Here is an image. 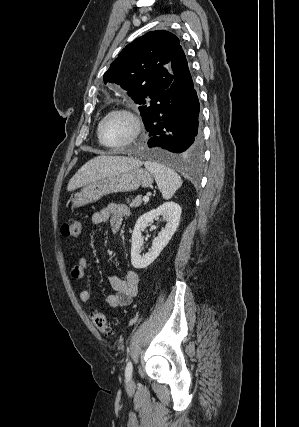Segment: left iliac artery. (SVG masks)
I'll use <instances>...</instances> for the list:
<instances>
[{"label": "left iliac artery", "instance_id": "44dca946", "mask_svg": "<svg viewBox=\"0 0 299 427\" xmlns=\"http://www.w3.org/2000/svg\"><path fill=\"white\" fill-rule=\"evenodd\" d=\"M132 370H133V366L131 361H129L126 365V369H125V377L126 379H130L132 376Z\"/></svg>", "mask_w": 299, "mask_h": 427}]
</instances>
